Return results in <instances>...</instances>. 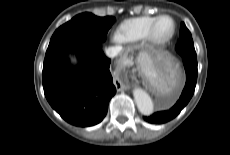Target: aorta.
I'll use <instances>...</instances> for the list:
<instances>
[{
  "label": "aorta",
  "instance_id": "1",
  "mask_svg": "<svg viewBox=\"0 0 230 155\" xmlns=\"http://www.w3.org/2000/svg\"><path fill=\"white\" fill-rule=\"evenodd\" d=\"M133 96L137 104L138 110L143 115H150L153 113V102L150 96L141 88H135L133 90Z\"/></svg>",
  "mask_w": 230,
  "mask_h": 155
}]
</instances>
